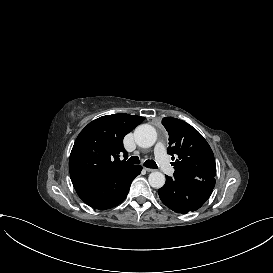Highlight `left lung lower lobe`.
Wrapping results in <instances>:
<instances>
[{
  "label": "left lung lower lobe",
  "mask_w": 273,
  "mask_h": 273,
  "mask_svg": "<svg viewBox=\"0 0 273 273\" xmlns=\"http://www.w3.org/2000/svg\"><path fill=\"white\" fill-rule=\"evenodd\" d=\"M215 186V178L192 179L174 172L166 176L165 185L158 190L163 204L177 213H188L199 209L210 197Z\"/></svg>",
  "instance_id": "left-lung-lower-lobe-1"
}]
</instances>
